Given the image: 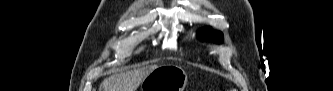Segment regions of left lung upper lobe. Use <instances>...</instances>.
Returning <instances> with one entry per match:
<instances>
[{"label": "left lung upper lobe", "instance_id": "obj_1", "mask_svg": "<svg viewBox=\"0 0 333 91\" xmlns=\"http://www.w3.org/2000/svg\"><path fill=\"white\" fill-rule=\"evenodd\" d=\"M200 37L213 40L215 42H222L223 34L220 31H212L210 28H204L201 30Z\"/></svg>", "mask_w": 333, "mask_h": 91}]
</instances>
